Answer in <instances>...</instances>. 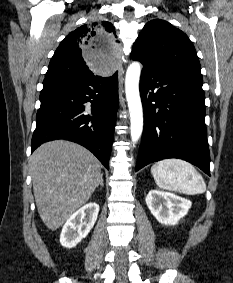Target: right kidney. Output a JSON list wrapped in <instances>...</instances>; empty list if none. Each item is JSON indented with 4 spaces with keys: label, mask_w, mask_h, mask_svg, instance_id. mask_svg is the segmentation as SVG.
<instances>
[{
    "label": "right kidney",
    "mask_w": 233,
    "mask_h": 283,
    "mask_svg": "<svg viewBox=\"0 0 233 283\" xmlns=\"http://www.w3.org/2000/svg\"><path fill=\"white\" fill-rule=\"evenodd\" d=\"M99 212V205L88 203L70 216L62 228L60 243L63 247H75L93 228Z\"/></svg>",
    "instance_id": "ca27d5eb"
}]
</instances>
